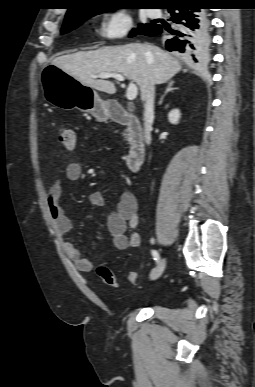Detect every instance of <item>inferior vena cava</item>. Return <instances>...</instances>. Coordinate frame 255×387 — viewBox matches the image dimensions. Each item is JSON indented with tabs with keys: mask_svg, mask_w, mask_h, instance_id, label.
<instances>
[{
	"mask_svg": "<svg viewBox=\"0 0 255 387\" xmlns=\"http://www.w3.org/2000/svg\"><path fill=\"white\" fill-rule=\"evenodd\" d=\"M154 98H155V86H154V83H150L142 94V99L145 101L144 127H145V141L147 144H150L151 142L152 122L154 119Z\"/></svg>",
	"mask_w": 255,
	"mask_h": 387,
	"instance_id": "1",
	"label": "inferior vena cava"
}]
</instances>
